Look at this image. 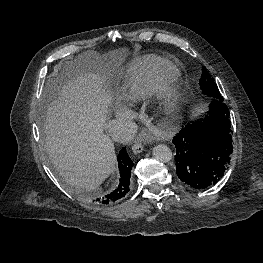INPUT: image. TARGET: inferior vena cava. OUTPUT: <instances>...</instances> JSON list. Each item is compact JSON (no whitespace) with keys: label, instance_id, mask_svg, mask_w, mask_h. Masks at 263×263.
Masks as SVG:
<instances>
[{"label":"inferior vena cava","instance_id":"602c4592","mask_svg":"<svg viewBox=\"0 0 263 263\" xmlns=\"http://www.w3.org/2000/svg\"><path fill=\"white\" fill-rule=\"evenodd\" d=\"M106 129L112 140L122 144L129 143L135 134V125L121 118L109 121L106 125Z\"/></svg>","mask_w":263,"mask_h":263}]
</instances>
